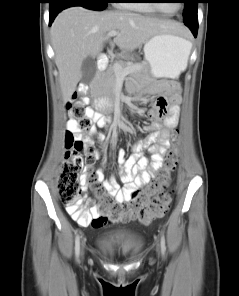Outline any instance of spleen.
Segmentation results:
<instances>
[{"label": "spleen", "mask_w": 239, "mask_h": 296, "mask_svg": "<svg viewBox=\"0 0 239 296\" xmlns=\"http://www.w3.org/2000/svg\"><path fill=\"white\" fill-rule=\"evenodd\" d=\"M191 47H192V46H190L189 49H188V56H189V54H190Z\"/></svg>", "instance_id": "obj_1"}]
</instances>
